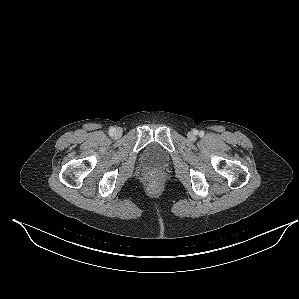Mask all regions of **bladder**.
Instances as JSON below:
<instances>
[{"mask_svg":"<svg viewBox=\"0 0 299 299\" xmlns=\"http://www.w3.org/2000/svg\"><path fill=\"white\" fill-rule=\"evenodd\" d=\"M145 160L152 165H162L166 162V154L155 145L149 146L145 151Z\"/></svg>","mask_w":299,"mask_h":299,"instance_id":"1","label":"bladder"}]
</instances>
